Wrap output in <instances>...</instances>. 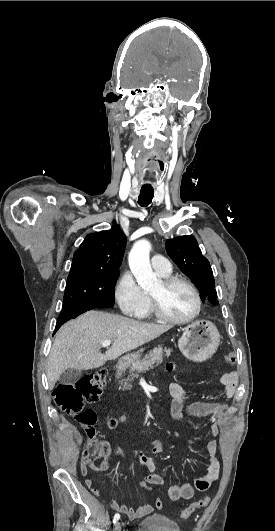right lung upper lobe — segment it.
Instances as JSON below:
<instances>
[{"instance_id": "1", "label": "right lung upper lobe", "mask_w": 275, "mask_h": 531, "mask_svg": "<svg viewBox=\"0 0 275 531\" xmlns=\"http://www.w3.org/2000/svg\"><path fill=\"white\" fill-rule=\"evenodd\" d=\"M126 246V237L119 226L87 235L75 251L70 273L119 272Z\"/></svg>"}]
</instances>
